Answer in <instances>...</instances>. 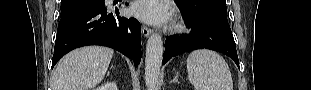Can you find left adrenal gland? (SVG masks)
<instances>
[{"label": "left adrenal gland", "instance_id": "a2214340", "mask_svg": "<svg viewBox=\"0 0 311 90\" xmlns=\"http://www.w3.org/2000/svg\"><path fill=\"white\" fill-rule=\"evenodd\" d=\"M178 76H179V73H176L175 77L173 78V80L170 81V83H175L177 82L178 83Z\"/></svg>", "mask_w": 311, "mask_h": 90}]
</instances>
